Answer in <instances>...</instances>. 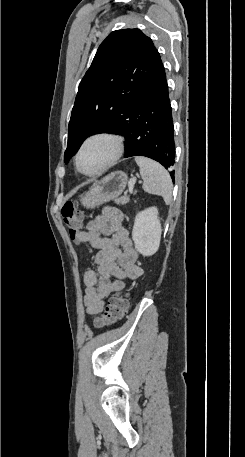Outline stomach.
Here are the masks:
<instances>
[{"instance_id": "0dacf381", "label": "stomach", "mask_w": 245, "mask_h": 457, "mask_svg": "<svg viewBox=\"0 0 245 457\" xmlns=\"http://www.w3.org/2000/svg\"><path fill=\"white\" fill-rule=\"evenodd\" d=\"M127 182L128 174L123 170H115V172L104 176L102 180L95 182L85 196L81 198V202L86 208H94V206H99V204L113 200V198L115 200L119 194H122Z\"/></svg>"}]
</instances>
